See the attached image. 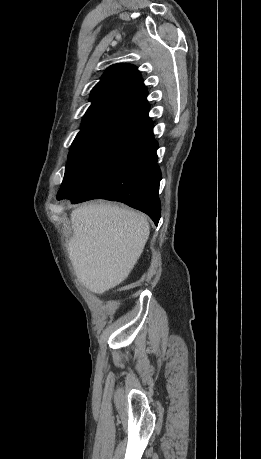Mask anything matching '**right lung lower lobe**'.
Wrapping results in <instances>:
<instances>
[{"mask_svg": "<svg viewBox=\"0 0 261 459\" xmlns=\"http://www.w3.org/2000/svg\"><path fill=\"white\" fill-rule=\"evenodd\" d=\"M157 148L151 132L139 147L99 177L84 193L67 199L72 203L98 198L120 201L145 212L157 225L161 212Z\"/></svg>", "mask_w": 261, "mask_h": 459, "instance_id": "obj_1", "label": "right lung lower lobe"}]
</instances>
